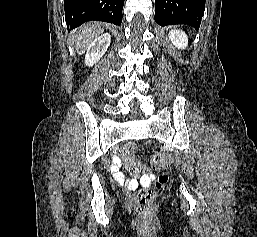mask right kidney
Returning a JSON list of instances; mask_svg holds the SVG:
<instances>
[{"mask_svg": "<svg viewBox=\"0 0 257 237\" xmlns=\"http://www.w3.org/2000/svg\"><path fill=\"white\" fill-rule=\"evenodd\" d=\"M111 36L109 33H104L97 37L88 47L85 55V64L93 66L97 63L110 46Z\"/></svg>", "mask_w": 257, "mask_h": 237, "instance_id": "1", "label": "right kidney"}]
</instances>
